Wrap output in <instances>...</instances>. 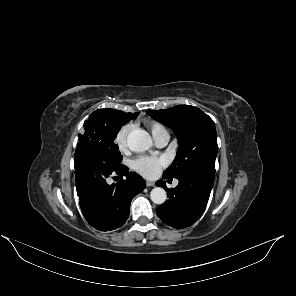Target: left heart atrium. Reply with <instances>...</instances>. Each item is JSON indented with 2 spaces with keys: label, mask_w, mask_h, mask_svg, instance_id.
<instances>
[{
  "label": "left heart atrium",
  "mask_w": 296,
  "mask_h": 296,
  "mask_svg": "<svg viewBox=\"0 0 296 296\" xmlns=\"http://www.w3.org/2000/svg\"><path fill=\"white\" fill-rule=\"evenodd\" d=\"M167 164L168 161L163 156L141 155L132 161V168L141 176L153 179Z\"/></svg>",
  "instance_id": "obj_1"
}]
</instances>
